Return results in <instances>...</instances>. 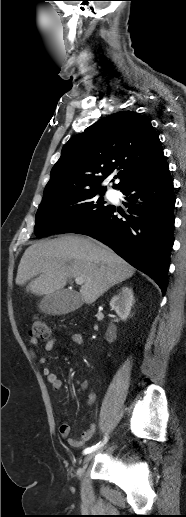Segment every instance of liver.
Wrapping results in <instances>:
<instances>
[{
    "label": "liver",
    "instance_id": "obj_1",
    "mask_svg": "<svg viewBox=\"0 0 186 517\" xmlns=\"http://www.w3.org/2000/svg\"><path fill=\"white\" fill-rule=\"evenodd\" d=\"M135 273V269L109 247L83 236L65 235L29 246L20 261L16 284L35 295L63 290L67 280L82 277V301L92 304L110 287Z\"/></svg>",
    "mask_w": 186,
    "mask_h": 517
}]
</instances>
